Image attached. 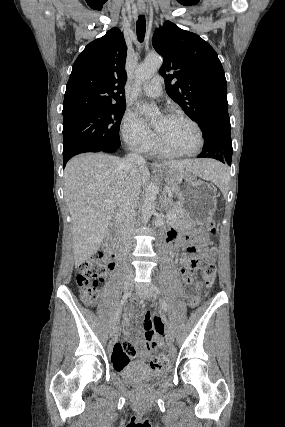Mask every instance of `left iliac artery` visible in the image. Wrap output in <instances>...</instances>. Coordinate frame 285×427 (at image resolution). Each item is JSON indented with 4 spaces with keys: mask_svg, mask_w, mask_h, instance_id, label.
Segmentation results:
<instances>
[{
    "mask_svg": "<svg viewBox=\"0 0 285 427\" xmlns=\"http://www.w3.org/2000/svg\"><path fill=\"white\" fill-rule=\"evenodd\" d=\"M151 288L153 289V291H154L156 294H158V295H160V296H161V290H160V288H159L158 286H156V285H153V284H152ZM161 307H162V309H163L165 312L167 311V305H166V303H165V301H164L163 299H161Z\"/></svg>",
    "mask_w": 285,
    "mask_h": 427,
    "instance_id": "1",
    "label": "left iliac artery"
}]
</instances>
